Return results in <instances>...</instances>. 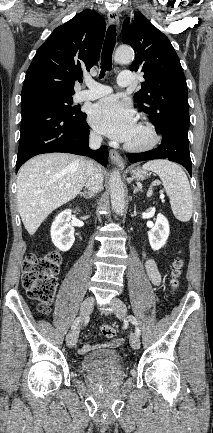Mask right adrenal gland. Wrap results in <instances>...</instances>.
<instances>
[{
	"instance_id": "1",
	"label": "right adrenal gland",
	"mask_w": 213,
	"mask_h": 433,
	"mask_svg": "<svg viewBox=\"0 0 213 433\" xmlns=\"http://www.w3.org/2000/svg\"><path fill=\"white\" fill-rule=\"evenodd\" d=\"M79 195L81 196V197H83L84 199H90V197H91V195H90V193L89 192H81V193H79Z\"/></svg>"
}]
</instances>
